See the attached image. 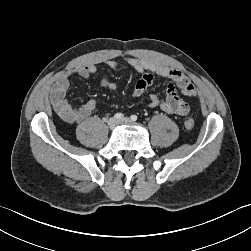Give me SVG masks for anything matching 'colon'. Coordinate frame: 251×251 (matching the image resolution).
Returning <instances> with one entry per match:
<instances>
[{
	"label": "colon",
	"mask_w": 251,
	"mask_h": 251,
	"mask_svg": "<svg viewBox=\"0 0 251 251\" xmlns=\"http://www.w3.org/2000/svg\"><path fill=\"white\" fill-rule=\"evenodd\" d=\"M184 126L186 129L190 130L194 127V121L193 119H187L185 122H184Z\"/></svg>",
	"instance_id": "obj_1"
}]
</instances>
